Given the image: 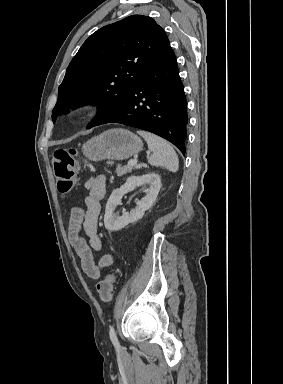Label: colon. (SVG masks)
Returning <instances> with one entry per match:
<instances>
[{"mask_svg":"<svg viewBox=\"0 0 283 384\" xmlns=\"http://www.w3.org/2000/svg\"><path fill=\"white\" fill-rule=\"evenodd\" d=\"M55 179L58 190L65 194L73 188L77 161L74 149H57L52 155ZM115 276L109 274L97 284V292L103 302H109L112 298Z\"/></svg>","mask_w":283,"mask_h":384,"instance_id":"obj_1","label":"colon"}]
</instances>
